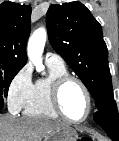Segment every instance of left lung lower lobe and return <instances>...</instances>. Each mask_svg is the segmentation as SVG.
Wrapping results in <instances>:
<instances>
[{"label":"left lung lower lobe","instance_id":"1","mask_svg":"<svg viewBox=\"0 0 119 141\" xmlns=\"http://www.w3.org/2000/svg\"><path fill=\"white\" fill-rule=\"evenodd\" d=\"M118 120V111L114 100L94 114V121L106 131L113 141H119Z\"/></svg>","mask_w":119,"mask_h":141}]
</instances>
